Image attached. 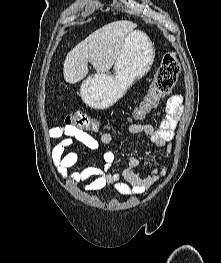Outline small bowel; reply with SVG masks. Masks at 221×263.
Returning a JSON list of instances; mask_svg holds the SVG:
<instances>
[{"mask_svg":"<svg viewBox=\"0 0 221 263\" xmlns=\"http://www.w3.org/2000/svg\"><path fill=\"white\" fill-rule=\"evenodd\" d=\"M181 95L171 96L165 107V117L157 126L150 124L131 123L126 131L130 134H144L149 141L160 151L157 154V162L160 163L163 158L161 150L166 147V153L172 154V141L178 121L182 115ZM52 138L59 139V143L54 147L53 155L58 161V171L60 175L73 184L86 182L83 189L87 193H96L112 186L120 195L123 196H141L161 177L167 174L168 168H161L159 165L153 168L146 175H141L136 171L139 166V159L130 156L127 159V166L121 173L110 172L115 160L112 151L103 148V145L112 142V136L109 133L102 134L100 140H97L89 134L73 128L55 127L51 129ZM75 144H82L85 149L65 153L66 148ZM91 151L101 152V166L86 167L81 171L68 173V169L74 166L81 156H87Z\"/></svg>","mask_w":221,"mask_h":263,"instance_id":"obj_1","label":"small bowel"}]
</instances>
